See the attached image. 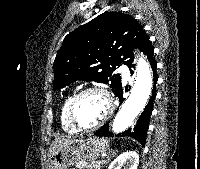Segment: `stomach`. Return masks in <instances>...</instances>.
<instances>
[{"instance_id":"stomach-1","label":"stomach","mask_w":200,"mask_h":169,"mask_svg":"<svg viewBox=\"0 0 200 169\" xmlns=\"http://www.w3.org/2000/svg\"><path fill=\"white\" fill-rule=\"evenodd\" d=\"M108 149V141L96 137L82 140L77 145L63 146L50 156L49 169H69L78 162L95 161Z\"/></svg>"}]
</instances>
